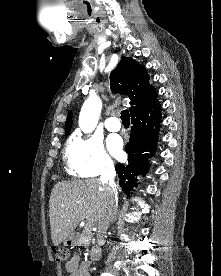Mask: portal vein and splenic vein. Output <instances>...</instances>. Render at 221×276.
Returning <instances> with one entry per match:
<instances>
[{
	"label": "portal vein and splenic vein",
	"instance_id": "portal-vein-and-splenic-vein-1",
	"mask_svg": "<svg viewBox=\"0 0 221 276\" xmlns=\"http://www.w3.org/2000/svg\"><path fill=\"white\" fill-rule=\"evenodd\" d=\"M86 227H91V223H88V225H86Z\"/></svg>",
	"mask_w": 221,
	"mask_h": 276
}]
</instances>
